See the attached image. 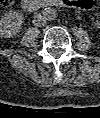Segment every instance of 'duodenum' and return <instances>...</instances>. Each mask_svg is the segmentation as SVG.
<instances>
[{
  "label": "duodenum",
  "instance_id": "obj_1",
  "mask_svg": "<svg viewBox=\"0 0 100 118\" xmlns=\"http://www.w3.org/2000/svg\"><path fill=\"white\" fill-rule=\"evenodd\" d=\"M70 4L68 0H24L22 7L26 12H33L40 8L64 6Z\"/></svg>",
  "mask_w": 100,
  "mask_h": 118
}]
</instances>
